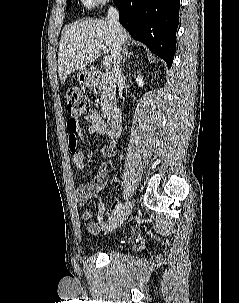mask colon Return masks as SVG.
<instances>
[{
	"mask_svg": "<svg viewBox=\"0 0 239 303\" xmlns=\"http://www.w3.org/2000/svg\"><path fill=\"white\" fill-rule=\"evenodd\" d=\"M67 110L69 115L72 117L69 121L68 126L72 133L76 129L74 122L75 118L88 114L90 111V102L87 97L78 88H71L67 91Z\"/></svg>",
	"mask_w": 239,
	"mask_h": 303,
	"instance_id": "obj_1",
	"label": "colon"
}]
</instances>
